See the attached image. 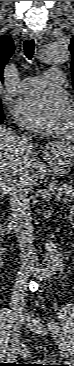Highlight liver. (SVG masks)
Segmentation results:
<instances>
[{
	"label": "liver",
	"instance_id": "6515ba94",
	"mask_svg": "<svg viewBox=\"0 0 74 366\" xmlns=\"http://www.w3.org/2000/svg\"><path fill=\"white\" fill-rule=\"evenodd\" d=\"M19 138L12 130L0 127L1 196L8 194V188L14 177H22L29 186H33L44 176V167L36 157L34 149L28 153L20 145Z\"/></svg>",
	"mask_w": 74,
	"mask_h": 366
}]
</instances>
